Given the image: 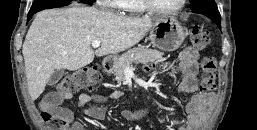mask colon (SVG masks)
Wrapping results in <instances>:
<instances>
[{
  "label": "colon",
  "instance_id": "colon-1",
  "mask_svg": "<svg viewBox=\"0 0 257 130\" xmlns=\"http://www.w3.org/2000/svg\"><path fill=\"white\" fill-rule=\"evenodd\" d=\"M191 38L195 46L205 48L209 42V35L200 26H195L191 32ZM201 79L199 90L202 93H210L216 89V62L212 57H203L201 60ZM100 82V75L94 67H86L77 70L64 77L57 86V93L63 97H69L80 89L94 90ZM43 122L49 130H69L68 118L60 113L45 110L41 113Z\"/></svg>",
  "mask_w": 257,
  "mask_h": 130
}]
</instances>
